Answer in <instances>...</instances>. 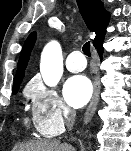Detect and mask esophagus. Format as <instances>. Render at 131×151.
Segmentation results:
<instances>
[{"mask_svg":"<svg viewBox=\"0 0 131 151\" xmlns=\"http://www.w3.org/2000/svg\"><path fill=\"white\" fill-rule=\"evenodd\" d=\"M99 94H100V82L98 79H95L94 92L84 116V124H88L91 121L92 117L94 116L99 102Z\"/></svg>","mask_w":131,"mask_h":151,"instance_id":"obj_1","label":"esophagus"}]
</instances>
